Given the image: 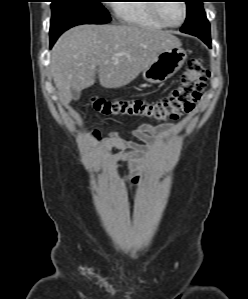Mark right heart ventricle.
I'll use <instances>...</instances> for the list:
<instances>
[{
    "mask_svg": "<svg viewBox=\"0 0 248 299\" xmlns=\"http://www.w3.org/2000/svg\"><path fill=\"white\" fill-rule=\"evenodd\" d=\"M115 5L116 14L119 20L130 26L163 29L164 26L158 22L153 13L152 0L122 1Z\"/></svg>",
    "mask_w": 248,
    "mask_h": 299,
    "instance_id": "right-heart-ventricle-1",
    "label": "right heart ventricle"
}]
</instances>
